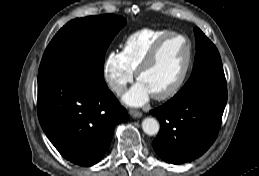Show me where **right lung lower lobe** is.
I'll list each match as a JSON object with an SVG mask.
<instances>
[{
  "mask_svg": "<svg viewBox=\"0 0 259 176\" xmlns=\"http://www.w3.org/2000/svg\"><path fill=\"white\" fill-rule=\"evenodd\" d=\"M37 108L54 147L65 159L84 167L101 160L114 127L128 119L103 76L77 67L38 74Z\"/></svg>",
  "mask_w": 259,
  "mask_h": 176,
  "instance_id": "right-lung-lower-lobe-1",
  "label": "right lung lower lobe"
}]
</instances>
